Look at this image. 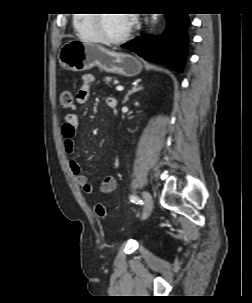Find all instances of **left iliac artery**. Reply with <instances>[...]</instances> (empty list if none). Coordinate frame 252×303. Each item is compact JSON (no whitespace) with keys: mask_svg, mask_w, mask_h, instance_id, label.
I'll return each instance as SVG.
<instances>
[{"mask_svg":"<svg viewBox=\"0 0 252 303\" xmlns=\"http://www.w3.org/2000/svg\"><path fill=\"white\" fill-rule=\"evenodd\" d=\"M130 200H131V202L136 203V204H143V201L136 195H131Z\"/></svg>","mask_w":252,"mask_h":303,"instance_id":"44dca946","label":"left iliac artery"}]
</instances>
